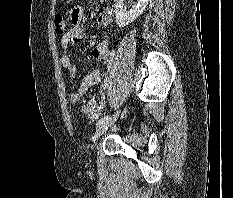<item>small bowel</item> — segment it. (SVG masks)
Instances as JSON below:
<instances>
[{
  "instance_id": "small-bowel-1",
  "label": "small bowel",
  "mask_w": 233,
  "mask_h": 198,
  "mask_svg": "<svg viewBox=\"0 0 233 198\" xmlns=\"http://www.w3.org/2000/svg\"><path fill=\"white\" fill-rule=\"evenodd\" d=\"M71 27L65 31L61 37L62 56L61 64L68 72L70 77L77 75V67L69 54V49L78 43L85 41L86 34L83 28L84 12L81 8H74L70 13ZM113 20V11L110 8H105L97 17V23L100 26H108ZM92 57L105 65H109L112 61L111 51L108 47V41H101L93 48ZM101 81V72L93 70L86 74L78 87V89L68 94V99L71 103H77L88 89Z\"/></svg>"
}]
</instances>
